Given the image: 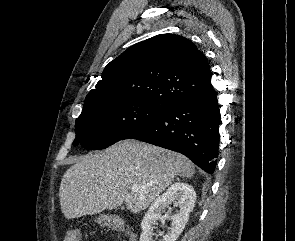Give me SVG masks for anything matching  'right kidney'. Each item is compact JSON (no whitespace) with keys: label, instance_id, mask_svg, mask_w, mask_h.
<instances>
[{"label":"right kidney","instance_id":"obj_1","mask_svg":"<svg viewBox=\"0 0 295 241\" xmlns=\"http://www.w3.org/2000/svg\"><path fill=\"white\" fill-rule=\"evenodd\" d=\"M196 201V193L191 185L184 182L172 184L164 194L156 198L146 212L141 222L142 233L140 241H153V229L157 220L164 222L166 219L171 221V227L167 234L163 235L161 241H176L182 233L192 212ZM179 206V210L174 215L165 212L166 207L171 204Z\"/></svg>","mask_w":295,"mask_h":241}]
</instances>
